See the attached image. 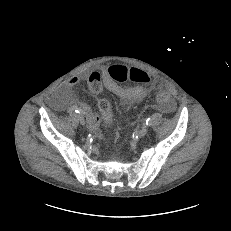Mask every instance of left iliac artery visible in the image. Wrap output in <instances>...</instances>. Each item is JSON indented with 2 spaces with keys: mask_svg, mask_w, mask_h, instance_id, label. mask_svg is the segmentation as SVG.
<instances>
[{
  "mask_svg": "<svg viewBox=\"0 0 231 231\" xmlns=\"http://www.w3.org/2000/svg\"><path fill=\"white\" fill-rule=\"evenodd\" d=\"M151 124V119L150 118H147L146 120V125H150Z\"/></svg>",
  "mask_w": 231,
  "mask_h": 231,
  "instance_id": "44dca946",
  "label": "left iliac artery"
}]
</instances>
